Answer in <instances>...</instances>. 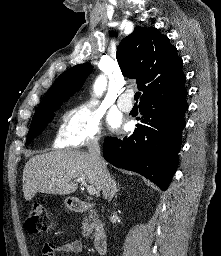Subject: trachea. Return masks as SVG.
<instances>
[{"instance_id": "1", "label": "trachea", "mask_w": 221, "mask_h": 256, "mask_svg": "<svg viewBox=\"0 0 221 256\" xmlns=\"http://www.w3.org/2000/svg\"><path fill=\"white\" fill-rule=\"evenodd\" d=\"M140 95H141L140 92H136L135 95H134V99H135L136 101H138Z\"/></svg>"}]
</instances>
